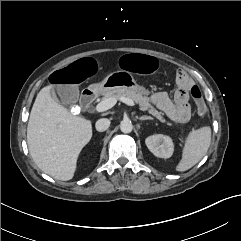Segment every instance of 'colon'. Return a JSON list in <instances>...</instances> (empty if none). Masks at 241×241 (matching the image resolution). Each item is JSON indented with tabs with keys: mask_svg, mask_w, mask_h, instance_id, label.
Here are the masks:
<instances>
[{
	"mask_svg": "<svg viewBox=\"0 0 241 241\" xmlns=\"http://www.w3.org/2000/svg\"><path fill=\"white\" fill-rule=\"evenodd\" d=\"M117 66L122 71L136 70L140 74H152L158 70L159 61L148 53L131 52L120 55L117 59ZM96 69L97 64L93 59L83 57L63 69L52 71L49 75V82L56 87L58 100L62 103L75 102L81 81L93 74ZM192 97L198 113L203 115L206 112V105L198 88L192 89Z\"/></svg>",
	"mask_w": 241,
	"mask_h": 241,
	"instance_id": "5ec220e1",
	"label": "colon"
}]
</instances>
